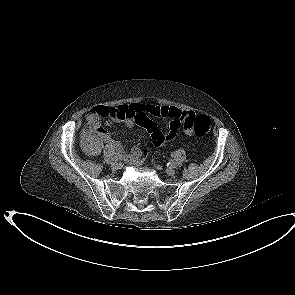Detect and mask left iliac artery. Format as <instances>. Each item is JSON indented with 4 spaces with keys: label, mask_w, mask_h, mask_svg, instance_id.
Returning <instances> with one entry per match:
<instances>
[{
    "label": "left iliac artery",
    "mask_w": 295,
    "mask_h": 295,
    "mask_svg": "<svg viewBox=\"0 0 295 295\" xmlns=\"http://www.w3.org/2000/svg\"><path fill=\"white\" fill-rule=\"evenodd\" d=\"M168 165L171 166V167H176L177 166L176 163H174V162H169Z\"/></svg>",
    "instance_id": "44dca946"
}]
</instances>
